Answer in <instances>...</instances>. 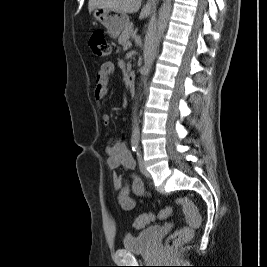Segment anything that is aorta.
Segmentation results:
<instances>
[{"label":"aorta","mask_w":267,"mask_h":267,"mask_svg":"<svg viewBox=\"0 0 267 267\" xmlns=\"http://www.w3.org/2000/svg\"><path fill=\"white\" fill-rule=\"evenodd\" d=\"M171 11H172V0H163V4L161 5V8L159 10V15H158V19L154 27V30L151 33H149L148 38H147V48L144 54L145 64L141 71L142 72L141 85L142 83L144 84L146 83L147 76L158 54L160 42L167 29ZM139 135H140V132H139V126H138V118H137L136 107H135L134 112H133L132 138L138 139Z\"/></svg>","instance_id":"762f6f07"}]
</instances>
